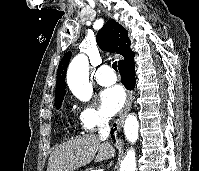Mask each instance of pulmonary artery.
Returning a JSON list of instances; mask_svg holds the SVG:
<instances>
[{
	"instance_id": "e3ab8cb5",
	"label": "pulmonary artery",
	"mask_w": 199,
	"mask_h": 171,
	"mask_svg": "<svg viewBox=\"0 0 199 171\" xmlns=\"http://www.w3.org/2000/svg\"><path fill=\"white\" fill-rule=\"evenodd\" d=\"M96 82L102 86H109L116 82V75L108 65L99 67L95 74Z\"/></svg>"
}]
</instances>
